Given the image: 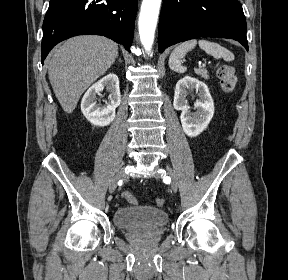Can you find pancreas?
<instances>
[{
    "label": "pancreas",
    "instance_id": "cf45deb5",
    "mask_svg": "<svg viewBox=\"0 0 288 280\" xmlns=\"http://www.w3.org/2000/svg\"><path fill=\"white\" fill-rule=\"evenodd\" d=\"M195 73L204 79H209L208 71L206 69H195Z\"/></svg>",
    "mask_w": 288,
    "mask_h": 280
}]
</instances>
